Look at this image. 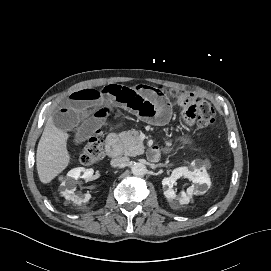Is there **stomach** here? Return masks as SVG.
<instances>
[{
  "mask_svg": "<svg viewBox=\"0 0 271 271\" xmlns=\"http://www.w3.org/2000/svg\"><path fill=\"white\" fill-rule=\"evenodd\" d=\"M180 141L183 144H188V145H190L192 143V141L188 137H183V138L180 139Z\"/></svg>",
  "mask_w": 271,
  "mask_h": 271,
  "instance_id": "1",
  "label": "stomach"
}]
</instances>
